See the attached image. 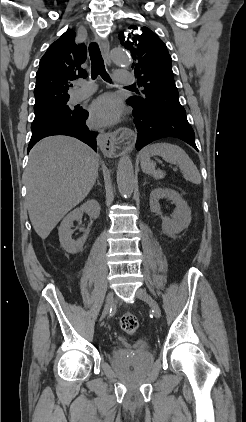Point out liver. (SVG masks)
Returning a JSON list of instances; mask_svg holds the SVG:
<instances>
[{"instance_id":"6515ba94","label":"liver","mask_w":246,"mask_h":422,"mask_svg":"<svg viewBox=\"0 0 246 422\" xmlns=\"http://www.w3.org/2000/svg\"><path fill=\"white\" fill-rule=\"evenodd\" d=\"M98 168L99 156L72 137H47L32 148L25 170L26 204L41 239H46L86 198L98 177Z\"/></svg>"}]
</instances>
